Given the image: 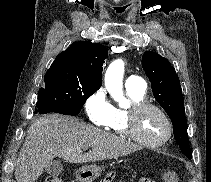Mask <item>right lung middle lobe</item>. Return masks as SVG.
Wrapping results in <instances>:
<instances>
[{
    "label": "right lung middle lobe",
    "mask_w": 211,
    "mask_h": 182,
    "mask_svg": "<svg viewBox=\"0 0 211 182\" xmlns=\"http://www.w3.org/2000/svg\"><path fill=\"white\" fill-rule=\"evenodd\" d=\"M44 82L45 86L39 89L38 99H52L74 115L80 113L86 100L101 87L80 80L60 69H49Z\"/></svg>",
    "instance_id": "dd1d6c3e"
}]
</instances>
